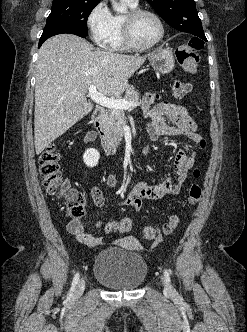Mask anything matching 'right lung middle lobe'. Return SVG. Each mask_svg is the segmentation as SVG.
Here are the masks:
<instances>
[{
  "mask_svg": "<svg viewBox=\"0 0 247 332\" xmlns=\"http://www.w3.org/2000/svg\"><path fill=\"white\" fill-rule=\"evenodd\" d=\"M100 0H53L46 26L64 24L88 34L87 19Z\"/></svg>",
  "mask_w": 247,
  "mask_h": 332,
  "instance_id": "right-lung-middle-lobe-1",
  "label": "right lung middle lobe"
}]
</instances>
